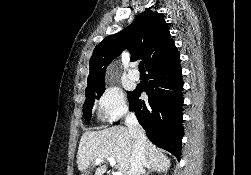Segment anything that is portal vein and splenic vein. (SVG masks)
I'll return each mask as SVG.
<instances>
[{"mask_svg": "<svg viewBox=\"0 0 251 175\" xmlns=\"http://www.w3.org/2000/svg\"><path fill=\"white\" fill-rule=\"evenodd\" d=\"M110 165H116V159L115 157H107ZM96 163H101V161H104L103 157H96L95 159ZM113 175H123V173H121V171H114Z\"/></svg>", "mask_w": 251, "mask_h": 175, "instance_id": "portal-vein-and-splenic-vein-1", "label": "portal vein and splenic vein"}]
</instances>
